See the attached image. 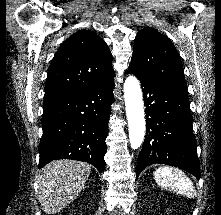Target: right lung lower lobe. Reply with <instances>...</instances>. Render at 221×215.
Segmentation results:
<instances>
[{"label": "right lung lower lobe", "instance_id": "98d812e1", "mask_svg": "<svg viewBox=\"0 0 221 215\" xmlns=\"http://www.w3.org/2000/svg\"><path fill=\"white\" fill-rule=\"evenodd\" d=\"M113 77L70 98L43 107L39 145L42 168L55 159H74L104 171Z\"/></svg>", "mask_w": 221, "mask_h": 215}]
</instances>
